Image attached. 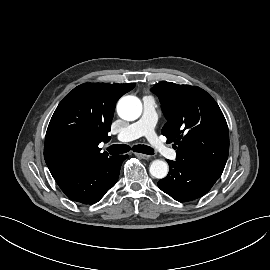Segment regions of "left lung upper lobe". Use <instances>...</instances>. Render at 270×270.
Here are the masks:
<instances>
[{
	"mask_svg": "<svg viewBox=\"0 0 270 270\" xmlns=\"http://www.w3.org/2000/svg\"><path fill=\"white\" fill-rule=\"evenodd\" d=\"M152 91L159 97L167 123L162 134L174 142L177 158L223 171L229 153L225 117L206 91L190 85L160 82Z\"/></svg>",
	"mask_w": 270,
	"mask_h": 270,
	"instance_id": "left-lung-upper-lobe-1",
	"label": "left lung upper lobe"
}]
</instances>
